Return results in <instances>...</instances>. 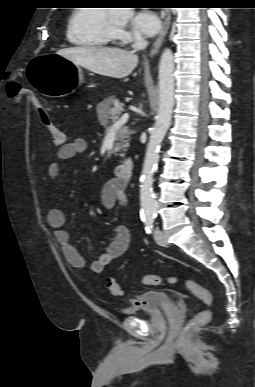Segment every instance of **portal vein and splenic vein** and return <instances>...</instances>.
<instances>
[{"label":"portal vein and splenic vein","instance_id":"obj_1","mask_svg":"<svg viewBox=\"0 0 255 387\" xmlns=\"http://www.w3.org/2000/svg\"><path fill=\"white\" fill-rule=\"evenodd\" d=\"M128 119H129V114L125 113V114L122 115V117L120 119H118L115 122L114 126L120 127V126L124 125L128 121Z\"/></svg>","mask_w":255,"mask_h":387}]
</instances>
